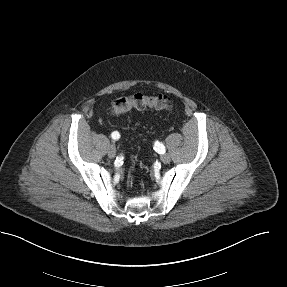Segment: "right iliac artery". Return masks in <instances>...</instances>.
Masks as SVG:
<instances>
[{
	"label": "right iliac artery",
	"mask_w": 287,
	"mask_h": 287,
	"mask_svg": "<svg viewBox=\"0 0 287 287\" xmlns=\"http://www.w3.org/2000/svg\"><path fill=\"white\" fill-rule=\"evenodd\" d=\"M111 136L114 140H118L120 138V134L117 131H114Z\"/></svg>",
	"instance_id": "82829eb1"
}]
</instances>
